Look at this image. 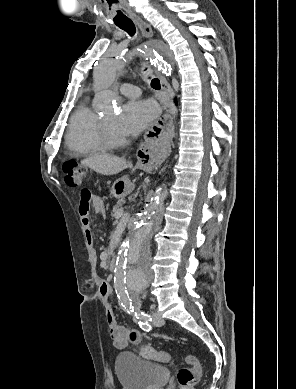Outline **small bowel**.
<instances>
[{
	"label": "small bowel",
	"instance_id": "small-bowel-1",
	"mask_svg": "<svg viewBox=\"0 0 296 389\" xmlns=\"http://www.w3.org/2000/svg\"><path fill=\"white\" fill-rule=\"evenodd\" d=\"M93 208L97 213H105L104 201L93 195L89 190H83L80 196L78 211L81 223L85 229L86 238L91 244L93 242L92 232L90 230V209ZM100 297L105 303V318L109 330V335L114 345L123 349L129 344H138L141 341V332L136 328H128L120 325L114 315L110 306V299L112 296V288L108 282H101L99 286Z\"/></svg>",
	"mask_w": 296,
	"mask_h": 389
}]
</instances>
